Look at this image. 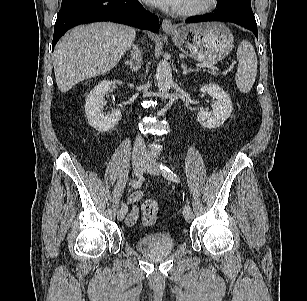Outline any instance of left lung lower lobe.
<instances>
[{
	"label": "left lung lower lobe",
	"instance_id": "0a47b994",
	"mask_svg": "<svg viewBox=\"0 0 307 301\" xmlns=\"http://www.w3.org/2000/svg\"><path fill=\"white\" fill-rule=\"evenodd\" d=\"M205 21H222L236 23L252 31L258 39L257 24L252 9H230L222 11L216 10L214 13L211 14L189 18L185 22L195 23Z\"/></svg>",
	"mask_w": 307,
	"mask_h": 301
}]
</instances>
